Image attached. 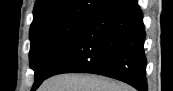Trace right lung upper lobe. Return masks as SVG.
Masks as SVG:
<instances>
[{"mask_svg": "<svg viewBox=\"0 0 173 91\" xmlns=\"http://www.w3.org/2000/svg\"><path fill=\"white\" fill-rule=\"evenodd\" d=\"M113 1L115 0H37L32 25L65 18L91 17Z\"/></svg>", "mask_w": 173, "mask_h": 91, "instance_id": "1", "label": "right lung upper lobe"}]
</instances>
